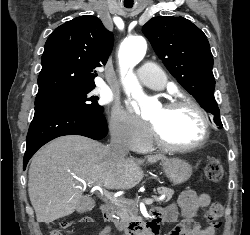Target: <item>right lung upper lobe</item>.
Instances as JSON below:
<instances>
[{
  "label": "right lung upper lobe",
  "mask_w": 250,
  "mask_h": 235,
  "mask_svg": "<svg viewBox=\"0 0 250 235\" xmlns=\"http://www.w3.org/2000/svg\"><path fill=\"white\" fill-rule=\"evenodd\" d=\"M113 34L95 16H80L57 27L45 43L36 98L95 85L94 70L105 65Z\"/></svg>",
  "instance_id": "obj_1"
}]
</instances>
